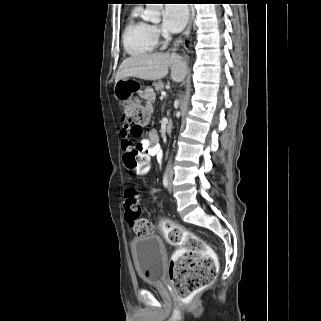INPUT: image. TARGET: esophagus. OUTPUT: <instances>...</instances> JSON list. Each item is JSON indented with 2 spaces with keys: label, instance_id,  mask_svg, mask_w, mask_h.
Returning <instances> with one entry per match:
<instances>
[{
  "label": "esophagus",
  "instance_id": "1",
  "mask_svg": "<svg viewBox=\"0 0 321 321\" xmlns=\"http://www.w3.org/2000/svg\"><path fill=\"white\" fill-rule=\"evenodd\" d=\"M189 10H190L189 22H188V26H187L186 31H185V36L186 37H189V34L191 32L192 19H193V7L189 6Z\"/></svg>",
  "mask_w": 321,
  "mask_h": 321
}]
</instances>
